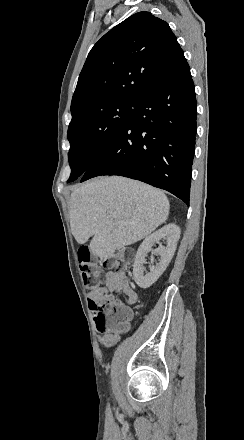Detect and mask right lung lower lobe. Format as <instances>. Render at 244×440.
Wrapping results in <instances>:
<instances>
[{
	"label": "right lung lower lobe",
	"mask_w": 244,
	"mask_h": 440,
	"mask_svg": "<svg viewBox=\"0 0 244 440\" xmlns=\"http://www.w3.org/2000/svg\"><path fill=\"white\" fill-rule=\"evenodd\" d=\"M196 99L187 62L158 77L125 127L82 175L140 180L189 205L196 135Z\"/></svg>",
	"instance_id": "right-lung-lower-lobe-1"
}]
</instances>
